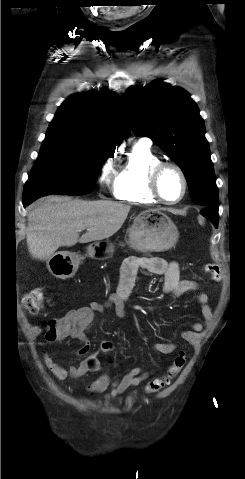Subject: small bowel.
<instances>
[{"label": "small bowel", "instance_id": "obj_1", "mask_svg": "<svg viewBox=\"0 0 245 479\" xmlns=\"http://www.w3.org/2000/svg\"><path fill=\"white\" fill-rule=\"evenodd\" d=\"M140 269L163 275V292L172 297H179L185 293L198 290V284L195 281L180 279L179 266L176 262H167L157 257L143 258L131 256L126 258L121 267L117 288L113 293L109 294L105 303H90L88 306L71 310L60 319H57L67 325V334L64 338L70 337L80 342L81 346L77 353L80 356H85V359L78 366L64 367L55 360L53 353L44 351V362L59 381H64L68 378L79 379L88 373L100 372L101 364L97 354H89L90 343L86 332L92 325L94 315L105 314L109 308H113L115 314L120 318L127 316V302L131 296L136 276ZM197 302L201 306L205 322L210 323L213 313L209 305L208 295L199 293ZM203 328V323L195 322L192 330L182 333V338L187 342H193L196 334L201 332ZM153 349L161 354H170L177 349V345L173 342H158L153 345ZM113 350L114 344L112 342L105 341L100 345V351L103 353H110ZM147 378L148 373L142 372L138 367L129 369L120 379H112L108 374L101 373L88 385V390L91 393H102L110 389L107 397L114 398L128 389L138 386Z\"/></svg>", "mask_w": 245, "mask_h": 479}]
</instances>
